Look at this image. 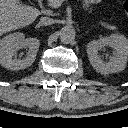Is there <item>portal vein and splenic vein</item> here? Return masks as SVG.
<instances>
[{"instance_id": "18ae733b", "label": "portal vein and splenic vein", "mask_w": 128, "mask_h": 128, "mask_svg": "<svg viewBox=\"0 0 128 128\" xmlns=\"http://www.w3.org/2000/svg\"><path fill=\"white\" fill-rule=\"evenodd\" d=\"M65 0H48L50 7L58 8Z\"/></svg>"}]
</instances>
